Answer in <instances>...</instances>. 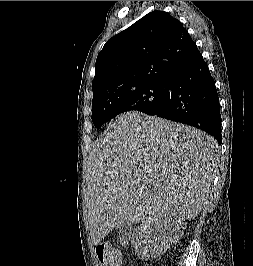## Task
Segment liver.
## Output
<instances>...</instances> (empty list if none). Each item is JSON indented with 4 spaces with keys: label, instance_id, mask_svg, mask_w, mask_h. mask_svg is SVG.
<instances>
[{
    "label": "liver",
    "instance_id": "1",
    "mask_svg": "<svg viewBox=\"0 0 253 266\" xmlns=\"http://www.w3.org/2000/svg\"><path fill=\"white\" fill-rule=\"evenodd\" d=\"M218 156L216 140L194 127L138 112L116 117L89 155L92 244L122 224L194 219L209 194Z\"/></svg>",
    "mask_w": 253,
    "mask_h": 266
}]
</instances>
